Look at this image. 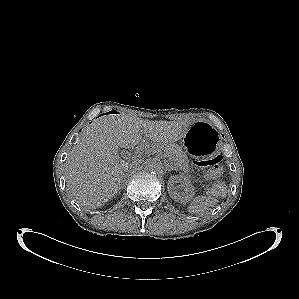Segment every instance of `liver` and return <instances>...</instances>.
<instances>
[{
  "label": "liver",
  "instance_id": "obj_1",
  "mask_svg": "<svg viewBox=\"0 0 299 299\" xmlns=\"http://www.w3.org/2000/svg\"><path fill=\"white\" fill-rule=\"evenodd\" d=\"M188 121H149L124 114L107 115L94 121L66 161V186L82 206L95 209L117 193L130 158L122 159L119 148H133L142 134L152 142L167 145L185 136ZM136 153L132 160H138Z\"/></svg>",
  "mask_w": 299,
  "mask_h": 299
}]
</instances>
